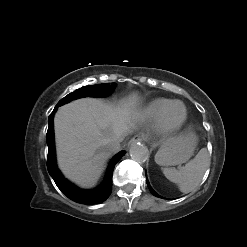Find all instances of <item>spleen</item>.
<instances>
[{
  "mask_svg": "<svg viewBox=\"0 0 247 247\" xmlns=\"http://www.w3.org/2000/svg\"><path fill=\"white\" fill-rule=\"evenodd\" d=\"M158 158V153L155 160ZM210 166V158L206 148H202L194 159L189 161L180 170L175 168H162L164 176L178 185L179 190L188 193L201 182L204 173Z\"/></svg>",
  "mask_w": 247,
  "mask_h": 247,
  "instance_id": "3e777b00",
  "label": "spleen"
}]
</instances>
